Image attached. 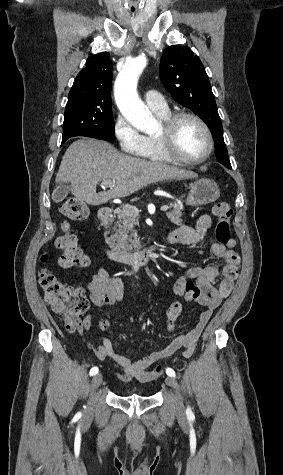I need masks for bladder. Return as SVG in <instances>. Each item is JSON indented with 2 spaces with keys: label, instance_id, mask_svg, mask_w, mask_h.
<instances>
[{
  "label": "bladder",
  "instance_id": "31cf9c89",
  "mask_svg": "<svg viewBox=\"0 0 283 475\" xmlns=\"http://www.w3.org/2000/svg\"><path fill=\"white\" fill-rule=\"evenodd\" d=\"M126 394L130 396H138V397L142 396V392L137 388L127 390Z\"/></svg>",
  "mask_w": 283,
  "mask_h": 475
}]
</instances>
